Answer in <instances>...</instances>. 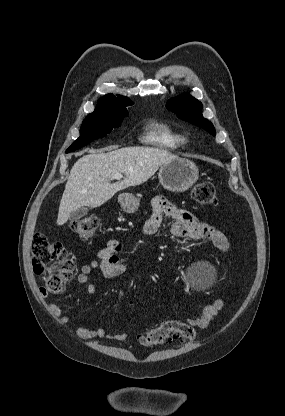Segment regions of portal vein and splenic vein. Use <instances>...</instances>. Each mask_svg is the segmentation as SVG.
I'll use <instances>...</instances> for the list:
<instances>
[{
  "label": "portal vein and splenic vein",
  "instance_id": "1",
  "mask_svg": "<svg viewBox=\"0 0 285 416\" xmlns=\"http://www.w3.org/2000/svg\"><path fill=\"white\" fill-rule=\"evenodd\" d=\"M122 178V174H114V176H112V180H122Z\"/></svg>",
  "mask_w": 285,
  "mask_h": 416
}]
</instances>
